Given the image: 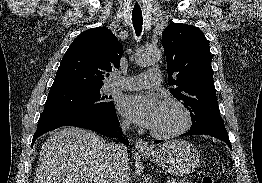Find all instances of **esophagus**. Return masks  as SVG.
I'll use <instances>...</instances> for the list:
<instances>
[{
  "mask_svg": "<svg viewBox=\"0 0 262 183\" xmlns=\"http://www.w3.org/2000/svg\"><path fill=\"white\" fill-rule=\"evenodd\" d=\"M135 148L139 152H148L151 151V148L149 147L148 143L143 139H138L135 142Z\"/></svg>",
  "mask_w": 262,
  "mask_h": 183,
  "instance_id": "1",
  "label": "esophagus"
}]
</instances>
